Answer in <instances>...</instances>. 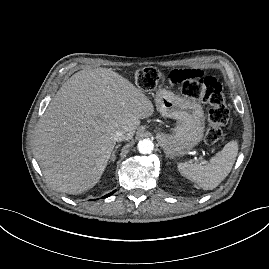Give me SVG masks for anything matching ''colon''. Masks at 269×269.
I'll return each instance as SVG.
<instances>
[{
  "label": "colon",
  "mask_w": 269,
  "mask_h": 269,
  "mask_svg": "<svg viewBox=\"0 0 269 269\" xmlns=\"http://www.w3.org/2000/svg\"><path fill=\"white\" fill-rule=\"evenodd\" d=\"M134 78L137 86L145 91L155 89L161 81L166 79L165 75L154 67L137 70ZM178 85L185 96L200 99L210 106L205 141L208 144L220 141L224 135L223 127L229 120V109L225 103L221 83L215 77L206 76L204 79L185 81Z\"/></svg>",
  "instance_id": "1"
}]
</instances>
